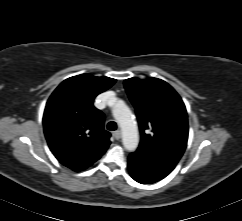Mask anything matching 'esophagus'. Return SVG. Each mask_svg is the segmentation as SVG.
Wrapping results in <instances>:
<instances>
[{
	"mask_svg": "<svg viewBox=\"0 0 242 221\" xmlns=\"http://www.w3.org/2000/svg\"><path fill=\"white\" fill-rule=\"evenodd\" d=\"M113 137L116 139V140H119L121 138V132L120 131H115L113 132Z\"/></svg>",
	"mask_w": 242,
	"mask_h": 221,
	"instance_id": "obj_1",
	"label": "esophagus"
}]
</instances>
